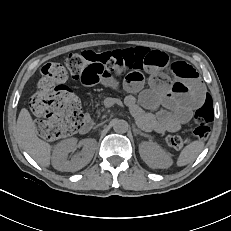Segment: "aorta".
I'll list each match as a JSON object with an SVG mask.
<instances>
[{
	"label": "aorta",
	"instance_id": "762f6f07",
	"mask_svg": "<svg viewBox=\"0 0 231 231\" xmlns=\"http://www.w3.org/2000/svg\"><path fill=\"white\" fill-rule=\"evenodd\" d=\"M129 124L126 120L115 119L113 121V130L116 133H126L128 131Z\"/></svg>",
	"mask_w": 231,
	"mask_h": 231
}]
</instances>
